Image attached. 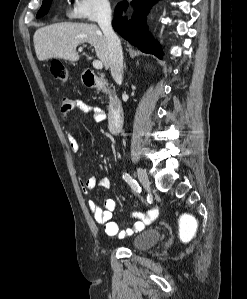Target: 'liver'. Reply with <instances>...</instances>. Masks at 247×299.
<instances>
[{"mask_svg": "<svg viewBox=\"0 0 247 299\" xmlns=\"http://www.w3.org/2000/svg\"><path fill=\"white\" fill-rule=\"evenodd\" d=\"M36 56L39 61L51 58L78 61V45L89 43L95 49L97 57L110 67L108 43L102 31L90 23H55L39 28L33 37Z\"/></svg>", "mask_w": 247, "mask_h": 299, "instance_id": "6515ba94", "label": "liver"}]
</instances>
